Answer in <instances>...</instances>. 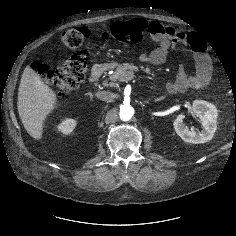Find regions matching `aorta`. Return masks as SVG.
<instances>
[{"label":"aorta","instance_id":"obj_1","mask_svg":"<svg viewBox=\"0 0 236 236\" xmlns=\"http://www.w3.org/2000/svg\"><path fill=\"white\" fill-rule=\"evenodd\" d=\"M134 115V108L130 105L120 107L119 117L122 121H129Z\"/></svg>","mask_w":236,"mask_h":236}]
</instances>
